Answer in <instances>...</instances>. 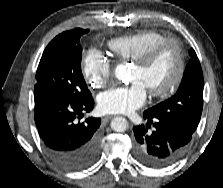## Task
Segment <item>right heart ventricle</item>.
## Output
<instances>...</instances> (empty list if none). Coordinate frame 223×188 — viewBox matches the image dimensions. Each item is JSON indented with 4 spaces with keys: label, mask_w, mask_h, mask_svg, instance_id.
<instances>
[{
    "label": "right heart ventricle",
    "mask_w": 223,
    "mask_h": 188,
    "mask_svg": "<svg viewBox=\"0 0 223 188\" xmlns=\"http://www.w3.org/2000/svg\"><path fill=\"white\" fill-rule=\"evenodd\" d=\"M166 37L155 30H141L108 41L109 50L123 60H135Z\"/></svg>",
    "instance_id": "1"
}]
</instances>
